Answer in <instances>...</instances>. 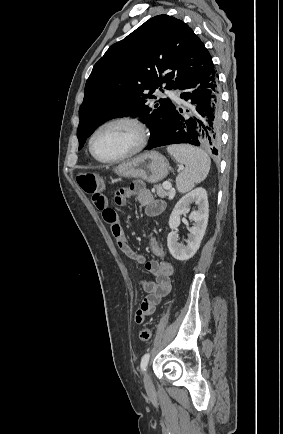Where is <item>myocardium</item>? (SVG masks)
<instances>
[{
  "instance_id": "f54148a6",
  "label": "myocardium",
  "mask_w": 283,
  "mask_h": 434,
  "mask_svg": "<svg viewBox=\"0 0 283 434\" xmlns=\"http://www.w3.org/2000/svg\"><path fill=\"white\" fill-rule=\"evenodd\" d=\"M118 123L128 124L136 130L137 142H136L135 146L127 153H125L119 157H116V158L104 159V158L99 157L93 149V141H94L95 136L103 128H105L109 125L118 124ZM148 140H149V130H148L146 124L139 117L133 116V115H120V116H116V117L110 118V119L102 122L100 125H98L94 129V131L91 133L89 140H88V148H89L90 154L93 156L94 159H96L97 161H99L101 163L112 164V163L121 162L123 160H126V159L138 154L146 147Z\"/></svg>"
}]
</instances>
